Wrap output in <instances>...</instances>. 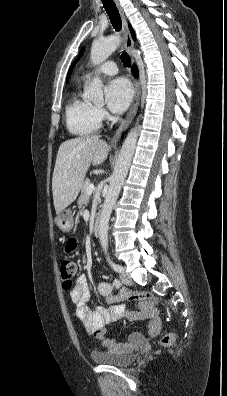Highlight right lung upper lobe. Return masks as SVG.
Here are the masks:
<instances>
[{
  "label": "right lung upper lobe",
  "instance_id": "1",
  "mask_svg": "<svg viewBox=\"0 0 227 396\" xmlns=\"http://www.w3.org/2000/svg\"><path fill=\"white\" fill-rule=\"evenodd\" d=\"M129 28H130V31H131V35H132L133 39L135 40V33H134V30L132 29L130 24H129Z\"/></svg>",
  "mask_w": 227,
  "mask_h": 396
}]
</instances>
